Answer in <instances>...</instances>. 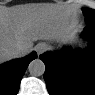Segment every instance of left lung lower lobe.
<instances>
[{"instance_id": "left-lung-lower-lobe-1", "label": "left lung lower lobe", "mask_w": 95, "mask_h": 95, "mask_svg": "<svg viewBox=\"0 0 95 95\" xmlns=\"http://www.w3.org/2000/svg\"><path fill=\"white\" fill-rule=\"evenodd\" d=\"M82 35L90 42L89 50L40 55L51 95H95V21L87 22Z\"/></svg>"}]
</instances>
